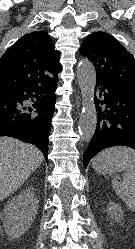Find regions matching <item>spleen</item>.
I'll use <instances>...</instances> for the list:
<instances>
[{"instance_id": "1", "label": "spleen", "mask_w": 135, "mask_h": 249, "mask_svg": "<svg viewBox=\"0 0 135 249\" xmlns=\"http://www.w3.org/2000/svg\"><path fill=\"white\" fill-rule=\"evenodd\" d=\"M102 160H110L122 166V170L125 171L122 181L114 178L112 186L125 205L131 211H135V150L113 147L98 154L94 162Z\"/></svg>"}]
</instances>
